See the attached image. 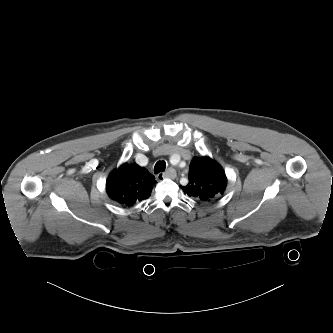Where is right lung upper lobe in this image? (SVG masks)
Here are the masks:
<instances>
[{"label": "right lung upper lobe", "mask_w": 333, "mask_h": 333, "mask_svg": "<svg viewBox=\"0 0 333 333\" xmlns=\"http://www.w3.org/2000/svg\"><path fill=\"white\" fill-rule=\"evenodd\" d=\"M155 183V177L144 167L124 163L108 176L106 192L112 200L130 207L149 198Z\"/></svg>", "instance_id": "cb5924a9"}]
</instances>
